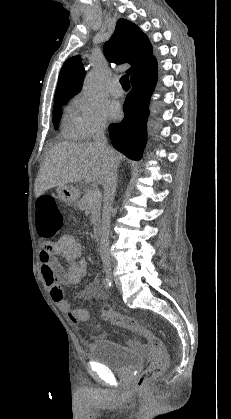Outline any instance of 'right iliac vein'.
<instances>
[{
    "label": "right iliac vein",
    "instance_id": "obj_1",
    "mask_svg": "<svg viewBox=\"0 0 231 419\" xmlns=\"http://www.w3.org/2000/svg\"><path fill=\"white\" fill-rule=\"evenodd\" d=\"M106 274L109 278H112V270L111 269H106Z\"/></svg>",
    "mask_w": 231,
    "mask_h": 419
}]
</instances>
